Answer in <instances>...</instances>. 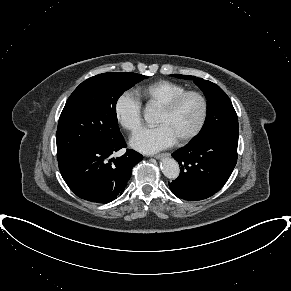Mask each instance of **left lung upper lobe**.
<instances>
[{
    "instance_id": "left-lung-upper-lobe-1",
    "label": "left lung upper lobe",
    "mask_w": 291,
    "mask_h": 291,
    "mask_svg": "<svg viewBox=\"0 0 291 291\" xmlns=\"http://www.w3.org/2000/svg\"><path fill=\"white\" fill-rule=\"evenodd\" d=\"M177 78L193 79L208 100L205 124L191 141H200L220 131H239L235 109L226 93L216 84L188 75H172Z\"/></svg>"
}]
</instances>
